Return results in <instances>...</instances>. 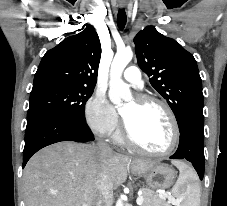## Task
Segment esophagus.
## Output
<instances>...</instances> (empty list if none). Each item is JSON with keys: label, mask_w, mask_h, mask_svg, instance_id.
<instances>
[{"label": "esophagus", "mask_w": 227, "mask_h": 206, "mask_svg": "<svg viewBox=\"0 0 227 206\" xmlns=\"http://www.w3.org/2000/svg\"><path fill=\"white\" fill-rule=\"evenodd\" d=\"M120 8H124L125 7V1L121 0L119 3Z\"/></svg>", "instance_id": "1"}]
</instances>
